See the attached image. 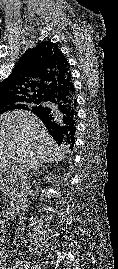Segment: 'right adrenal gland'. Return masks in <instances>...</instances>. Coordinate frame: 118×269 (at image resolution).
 <instances>
[{"label": "right adrenal gland", "instance_id": "2a0ac1e0", "mask_svg": "<svg viewBox=\"0 0 118 269\" xmlns=\"http://www.w3.org/2000/svg\"><path fill=\"white\" fill-rule=\"evenodd\" d=\"M41 167H42V165L35 166V167L33 168V171H32V173H31V176H33V175L39 173V169H40Z\"/></svg>", "mask_w": 118, "mask_h": 269}]
</instances>
